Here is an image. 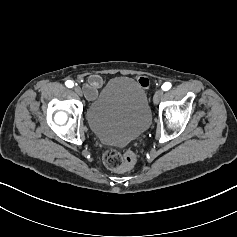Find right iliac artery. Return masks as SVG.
<instances>
[{"label": "right iliac artery", "mask_w": 237, "mask_h": 237, "mask_svg": "<svg viewBox=\"0 0 237 237\" xmlns=\"http://www.w3.org/2000/svg\"><path fill=\"white\" fill-rule=\"evenodd\" d=\"M65 85L68 87V88H72L74 86V83L71 81V80H67L65 82Z\"/></svg>", "instance_id": "82829eb1"}]
</instances>
